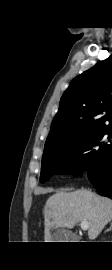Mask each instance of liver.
I'll list each match as a JSON object with an SVG mask.
<instances>
[{"mask_svg": "<svg viewBox=\"0 0 112 270\" xmlns=\"http://www.w3.org/2000/svg\"><path fill=\"white\" fill-rule=\"evenodd\" d=\"M44 214V240H52L51 230L72 229L82 221L89 223L88 238L94 240L112 220V200L89 190L58 191L46 201Z\"/></svg>", "mask_w": 112, "mask_h": 270, "instance_id": "1", "label": "liver"}]
</instances>
